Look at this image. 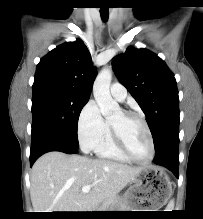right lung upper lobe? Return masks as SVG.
Listing matches in <instances>:
<instances>
[{
	"instance_id": "right-lung-upper-lobe-1",
	"label": "right lung upper lobe",
	"mask_w": 203,
	"mask_h": 219,
	"mask_svg": "<svg viewBox=\"0 0 203 219\" xmlns=\"http://www.w3.org/2000/svg\"><path fill=\"white\" fill-rule=\"evenodd\" d=\"M95 76L89 51L77 39L56 47L41 59L33 87L52 86L89 98Z\"/></svg>"
}]
</instances>
